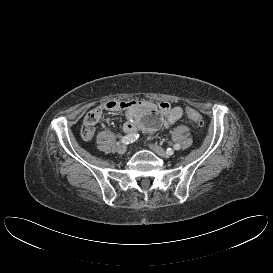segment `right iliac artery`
<instances>
[{
    "instance_id": "82829eb1",
    "label": "right iliac artery",
    "mask_w": 273,
    "mask_h": 273,
    "mask_svg": "<svg viewBox=\"0 0 273 273\" xmlns=\"http://www.w3.org/2000/svg\"><path fill=\"white\" fill-rule=\"evenodd\" d=\"M139 137V134H136V133H133V134H128L126 136H124L120 142L123 143V144H130V143H133L135 142Z\"/></svg>"
}]
</instances>
